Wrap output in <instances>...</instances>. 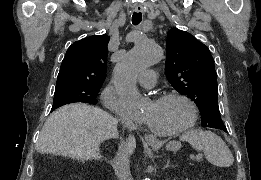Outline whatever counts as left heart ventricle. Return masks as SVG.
Segmentation results:
<instances>
[{
  "mask_svg": "<svg viewBox=\"0 0 261 180\" xmlns=\"http://www.w3.org/2000/svg\"><path fill=\"white\" fill-rule=\"evenodd\" d=\"M138 115L152 135L167 136L182 130L189 116V108L184 101L176 97H147Z\"/></svg>",
  "mask_w": 261,
  "mask_h": 180,
  "instance_id": "left-heart-ventricle-1",
  "label": "left heart ventricle"
}]
</instances>
